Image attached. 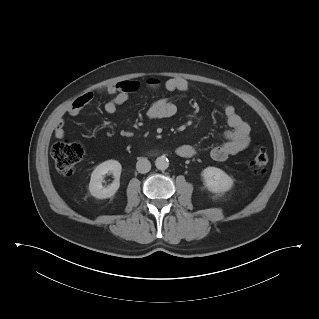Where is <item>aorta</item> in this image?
I'll return each mask as SVG.
<instances>
[{"mask_svg":"<svg viewBox=\"0 0 319 319\" xmlns=\"http://www.w3.org/2000/svg\"><path fill=\"white\" fill-rule=\"evenodd\" d=\"M155 166L159 170H166L169 167V160L165 156L158 157Z\"/></svg>","mask_w":319,"mask_h":319,"instance_id":"762f6f07","label":"aorta"}]
</instances>
